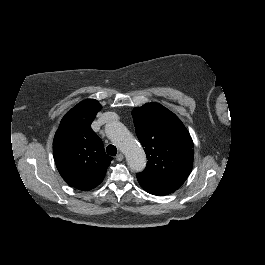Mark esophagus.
Here are the masks:
<instances>
[{
    "instance_id": "obj_1",
    "label": "esophagus",
    "mask_w": 265,
    "mask_h": 265,
    "mask_svg": "<svg viewBox=\"0 0 265 265\" xmlns=\"http://www.w3.org/2000/svg\"><path fill=\"white\" fill-rule=\"evenodd\" d=\"M116 159H117L118 161H122V160L124 159L123 154H122V153H119V154L116 156Z\"/></svg>"
}]
</instances>
